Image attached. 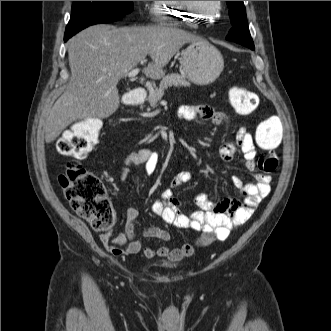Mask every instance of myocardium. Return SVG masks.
Wrapping results in <instances>:
<instances>
[{
    "mask_svg": "<svg viewBox=\"0 0 331 331\" xmlns=\"http://www.w3.org/2000/svg\"><path fill=\"white\" fill-rule=\"evenodd\" d=\"M196 17H211L214 16L222 8L221 1H215V7L211 12H206L200 8L195 1H181Z\"/></svg>",
    "mask_w": 331,
    "mask_h": 331,
    "instance_id": "f54148a6",
    "label": "myocardium"
}]
</instances>
